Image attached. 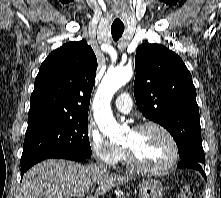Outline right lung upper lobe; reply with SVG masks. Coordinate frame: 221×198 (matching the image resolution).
Wrapping results in <instances>:
<instances>
[{
	"label": "right lung upper lobe",
	"mask_w": 221,
	"mask_h": 198,
	"mask_svg": "<svg viewBox=\"0 0 221 198\" xmlns=\"http://www.w3.org/2000/svg\"><path fill=\"white\" fill-rule=\"evenodd\" d=\"M96 69V56L84 40L54 50L35 79L29 122L46 117L88 116Z\"/></svg>",
	"instance_id": "obj_1"
}]
</instances>
